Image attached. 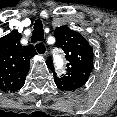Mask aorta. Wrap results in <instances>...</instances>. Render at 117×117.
<instances>
[{
	"label": "aorta",
	"mask_w": 117,
	"mask_h": 117,
	"mask_svg": "<svg viewBox=\"0 0 117 117\" xmlns=\"http://www.w3.org/2000/svg\"><path fill=\"white\" fill-rule=\"evenodd\" d=\"M56 62L59 66L63 64V59L60 55H55Z\"/></svg>",
	"instance_id": "762f6f07"
}]
</instances>
